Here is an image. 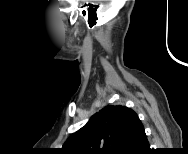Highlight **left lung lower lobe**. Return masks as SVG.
Instances as JSON below:
<instances>
[{"instance_id":"obj_1","label":"left lung lower lobe","mask_w":188,"mask_h":154,"mask_svg":"<svg viewBox=\"0 0 188 154\" xmlns=\"http://www.w3.org/2000/svg\"><path fill=\"white\" fill-rule=\"evenodd\" d=\"M150 149L144 127L135 113L132 116L130 133L125 145V154H145Z\"/></svg>"}]
</instances>
